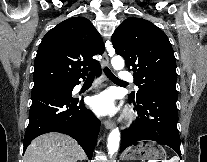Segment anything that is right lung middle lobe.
Masks as SVG:
<instances>
[{
	"label": "right lung middle lobe",
	"mask_w": 207,
	"mask_h": 162,
	"mask_svg": "<svg viewBox=\"0 0 207 162\" xmlns=\"http://www.w3.org/2000/svg\"><path fill=\"white\" fill-rule=\"evenodd\" d=\"M53 86H59V87H62V88L67 87V86H65L64 84H55V85L46 86V87H41V88H34L32 91H34V90H39V89H43V88H48V87H53Z\"/></svg>",
	"instance_id": "1"
}]
</instances>
